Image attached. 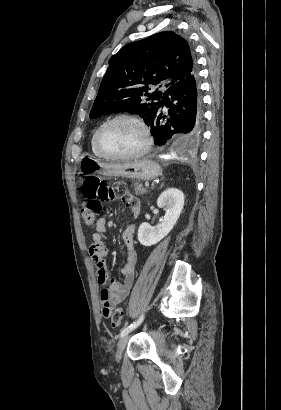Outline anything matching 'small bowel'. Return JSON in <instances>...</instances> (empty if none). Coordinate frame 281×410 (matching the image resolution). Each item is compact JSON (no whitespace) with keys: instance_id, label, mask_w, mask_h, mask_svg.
<instances>
[{"instance_id":"1","label":"small bowel","mask_w":281,"mask_h":410,"mask_svg":"<svg viewBox=\"0 0 281 410\" xmlns=\"http://www.w3.org/2000/svg\"><path fill=\"white\" fill-rule=\"evenodd\" d=\"M122 202L125 207L131 210L134 217L139 215L140 203L135 196L125 194L122 196ZM95 229L96 231L93 234L89 254L96 268L98 282L100 284H106L108 282V287L104 288L100 293L101 313L103 317L107 318L109 317L111 310L129 295L134 283L137 265V250L134 243L136 224L133 222L127 224L123 234V239L126 245L127 261L120 270L121 275L123 276L122 282L115 279H109V272L105 261L108 254V249L104 242V235L107 230L105 218L100 217L97 219Z\"/></svg>"}]
</instances>
